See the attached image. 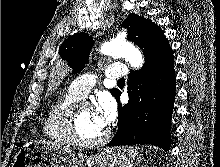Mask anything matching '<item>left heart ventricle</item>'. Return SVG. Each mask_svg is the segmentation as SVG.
I'll list each match as a JSON object with an SVG mask.
<instances>
[{"label": "left heart ventricle", "mask_w": 220, "mask_h": 167, "mask_svg": "<svg viewBox=\"0 0 220 167\" xmlns=\"http://www.w3.org/2000/svg\"><path fill=\"white\" fill-rule=\"evenodd\" d=\"M76 129L78 136L86 141L100 138L106 130L98 123L92 108H81L79 110Z\"/></svg>", "instance_id": "left-heart-ventricle-1"}]
</instances>
